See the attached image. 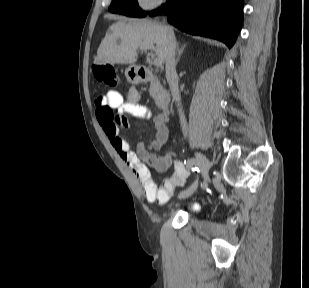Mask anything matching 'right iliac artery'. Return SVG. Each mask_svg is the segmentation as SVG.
Wrapping results in <instances>:
<instances>
[{"label": "right iliac artery", "instance_id": "right-iliac-artery-1", "mask_svg": "<svg viewBox=\"0 0 309 288\" xmlns=\"http://www.w3.org/2000/svg\"><path fill=\"white\" fill-rule=\"evenodd\" d=\"M200 161L197 160V163L195 164V170L199 171L200 170ZM198 175V174H197ZM197 179V178H196ZM195 185L197 186V183L194 185H190L189 188H185L184 190L181 191V197H187V193H192V190H195ZM180 193V192H179ZM176 196V195H175Z\"/></svg>", "mask_w": 309, "mask_h": 288}]
</instances>
